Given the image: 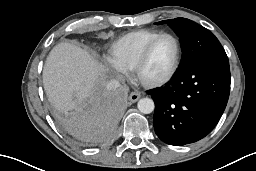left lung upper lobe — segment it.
<instances>
[{
  "label": "left lung upper lobe",
  "mask_w": 256,
  "mask_h": 171,
  "mask_svg": "<svg viewBox=\"0 0 256 171\" xmlns=\"http://www.w3.org/2000/svg\"><path fill=\"white\" fill-rule=\"evenodd\" d=\"M167 23L180 38L182 59L179 68L201 58L226 55L218 39L203 26L186 18L157 22Z\"/></svg>",
  "instance_id": "1"
}]
</instances>
